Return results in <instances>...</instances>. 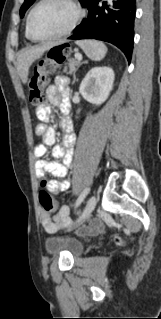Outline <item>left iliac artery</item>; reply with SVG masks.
Returning a JSON list of instances; mask_svg holds the SVG:
<instances>
[{"mask_svg":"<svg viewBox=\"0 0 161 319\" xmlns=\"http://www.w3.org/2000/svg\"><path fill=\"white\" fill-rule=\"evenodd\" d=\"M90 189L89 188H86L81 194L80 196L78 197L76 203H75V208L80 206L81 203L84 201L86 195L89 193Z\"/></svg>","mask_w":161,"mask_h":319,"instance_id":"1","label":"left iliac artery"}]
</instances>
